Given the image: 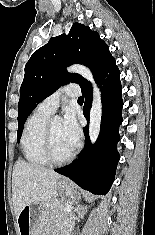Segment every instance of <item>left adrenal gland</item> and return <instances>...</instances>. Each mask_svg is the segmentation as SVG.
Here are the masks:
<instances>
[{"label": "left adrenal gland", "instance_id": "left-adrenal-gland-1", "mask_svg": "<svg viewBox=\"0 0 155 235\" xmlns=\"http://www.w3.org/2000/svg\"><path fill=\"white\" fill-rule=\"evenodd\" d=\"M81 210H83V208L80 206H77V208H75V211L78 213L79 216L81 215Z\"/></svg>", "mask_w": 155, "mask_h": 235}]
</instances>
